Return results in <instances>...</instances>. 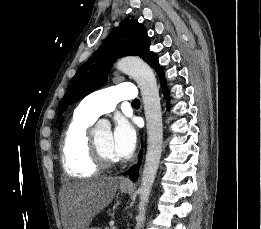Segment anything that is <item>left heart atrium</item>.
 Listing matches in <instances>:
<instances>
[{
	"label": "left heart atrium",
	"mask_w": 261,
	"mask_h": 229,
	"mask_svg": "<svg viewBox=\"0 0 261 229\" xmlns=\"http://www.w3.org/2000/svg\"><path fill=\"white\" fill-rule=\"evenodd\" d=\"M136 129L126 121L120 120L113 133L111 139V149L116 159H127L133 153L136 146Z\"/></svg>",
	"instance_id": "left-heart-atrium-1"
}]
</instances>
